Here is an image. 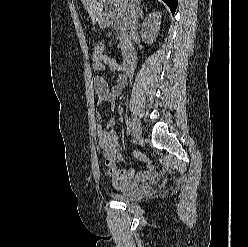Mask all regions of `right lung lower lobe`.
Here are the masks:
<instances>
[{"label":"right lung lower lobe","instance_id":"98d812e1","mask_svg":"<svg viewBox=\"0 0 248 247\" xmlns=\"http://www.w3.org/2000/svg\"><path fill=\"white\" fill-rule=\"evenodd\" d=\"M163 1L166 2L168 7L170 8L171 12L174 14L176 11L178 0H163Z\"/></svg>","mask_w":248,"mask_h":247}]
</instances>
